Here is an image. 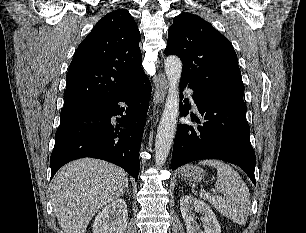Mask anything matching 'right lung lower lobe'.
<instances>
[{
	"mask_svg": "<svg viewBox=\"0 0 306 233\" xmlns=\"http://www.w3.org/2000/svg\"><path fill=\"white\" fill-rule=\"evenodd\" d=\"M150 93L151 84L143 74L111 100L61 114L50 158L51 178L72 160L94 157L122 167L137 180ZM119 102L128 107H120ZM115 115L121 116L116 122Z\"/></svg>",
	"mask_w": 306,
	"mask_h": 233,
	"instance_id": "1",
	"label": "right lung lower lobe"
}]
</instances>
